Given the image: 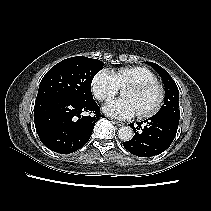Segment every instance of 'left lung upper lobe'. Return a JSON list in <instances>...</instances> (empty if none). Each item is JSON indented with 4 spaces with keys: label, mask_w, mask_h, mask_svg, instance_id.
Returning <instances> with one entry per match:
<instances>
[{
    "label": "left lung upper lobe",
    "mask_w": 211,
    "mask_h": 211,
    "mask_svg": "<svg viewBox=\"0 0 211 211\" xmlns=\"http://www.w3.org/2000/svg\"><path fill=\"white\" fill-rule=\"evenodd\" d=\"M153 67L161 76L165 87V101L160 110L155 115H166L179 120V90L172 77L158 64L146 62Z\"/></svg>",
    "instance_id": "1"
}]
</instances>
